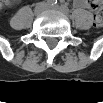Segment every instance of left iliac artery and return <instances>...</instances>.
I'll use <instances>...</instances> for the list:
<instances>
[{
	"instance_id": "1",
	"label": "left iliac artery",
	"mask_w": 103,
	"mask_h": 103,
	"mask_svg": "<svg viewBox=\"0 0 103 103\" xmlns=\"http://www.w3.org/2000/svg\"><path fill=\"white\" fill-rule=\"evenodd\" d=\"M61 10L64 12V13H69V8L67 5H61Z\"/></svg>"
}]
</instances>
